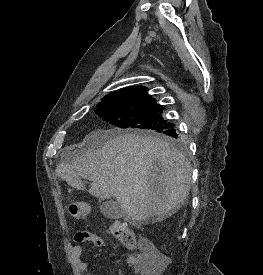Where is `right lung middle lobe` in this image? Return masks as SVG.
Here are the masks:
<instances>
[{
	"instance_id": "1",
	"label": "right lung middle lobe",
	"mask_w": 263,
	"mask_h": 275,
	"mask_svg": "<svg viewBox=\"0 0 263 275\" xmlns=\"http://www.w3.org/2000/svg\"><path fill=\"white\" fill-rule=\"evenodd\" d=\"M163 107L154 98H134L123 93H110L97 106L96 113L107 122L123 129L148 131L161 140L176 146L182 143L178 136L163 131L174 125L162 117Z\"/></svg>"
}]
</instances>
